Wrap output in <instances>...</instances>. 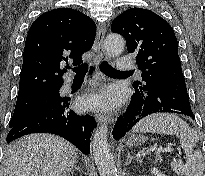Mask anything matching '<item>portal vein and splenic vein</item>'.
I'll list each match as a JSON object with an SVG mask.
<instances>
[{
    "label": "portal vein and splenic vein",
    "instance_id": "18ae733b",
    "mask_svg": "<svg viewBox=\"0 0 205 176\" xmlns=\"http://www.w3.org/2000/svg\"><path fill=\"white\" fill-rule=\"evenodd\" d=\"M174 152V149L171 147H166V148H158L156 149V155H159L160 152Z\"/></svg>",
    "mask_w": 205,
    "mask_h": 176
}]
</instances>
